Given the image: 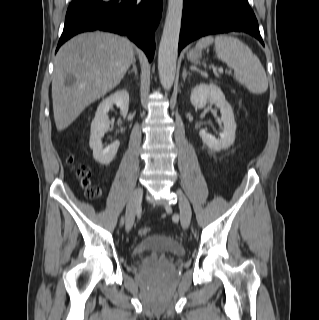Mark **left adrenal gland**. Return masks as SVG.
<instances>
[{
    "label": "left adrenal gland",
    "mask_w": 319,
    "mask_h": 320,
    "mask_svg": "<svg viewBox=\"0 0 319 320\" xmlns=\"http://www.w3.org/2000/svg\"><path fill=\"white\" fill-rule=\"evenodd\" d=\"M188 74H190V72H187V71H186V68L184 67V68H183V74H182L184 81H185V79H186V77H187Z\"/></svg>",
    "instance_id": "1"
}]
</instances>
